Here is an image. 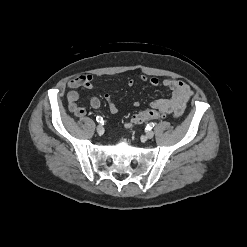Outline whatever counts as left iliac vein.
Listing matches in <instances>:
<instances>
[{
	"label": "left iliac vein",
	"mask_w": 247,
	"mask_h": 247,
	"mask_svg": "<svg viewBox=\"0 0 247 247\" xmlns=\"http://www.w3.org/2000/svg\"><path fill=\"white\" fill-rule=\"evenodd\" d=\"M145 137H146L147 139L153 138V137H154V132H153V131L147 132V134L145 135Z\"/></svg>",
	"instance_id": "left-iliac-vein-1"
}]
</instances>
